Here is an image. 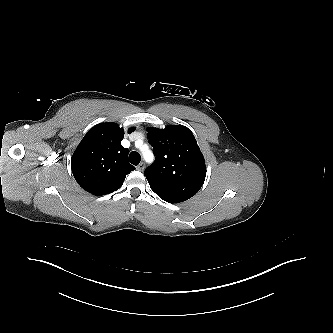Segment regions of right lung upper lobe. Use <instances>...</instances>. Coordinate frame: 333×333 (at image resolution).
I'll use <instances>...</instances> for the list:
<instances>
[{"label":"right lung upper lobe","mask_w":333,"mask_h":333,"mask_svg":"<svg viewBox=\"0 0 333 333\" xmlns=\"http://www.w3.org/2000/svg\"><path fill=\"white\" fill-rule=\"evenodd\" d=\"M135 127L128 129V133ZM124 129L111 122L91 128L77 146L72 158V173L77 183L93 195L118 190L125 176L135 169L127 159L129 150L121 145Z\"/></svg>","instance_id":"obj_1"}]
</instances>
